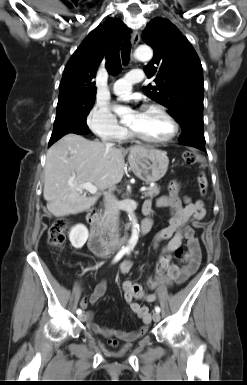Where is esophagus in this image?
Instances as JSON below:
<instances>
[{"mask_svg":"<svg viewBox=\"0 0 247 385\" xmlns=\"http://www.w3.org/2000/svg\"><path fill=\"white\" fill-rule=\"evenodd\" d=\"M139 41H140V33L137 30H135L133 31V34H132V45L134 48L138 45Z\"/></svg>","mask_w":247,"mask_h":385,"instance_id":"obj_1","label":"esophagus"}]
</instances>
